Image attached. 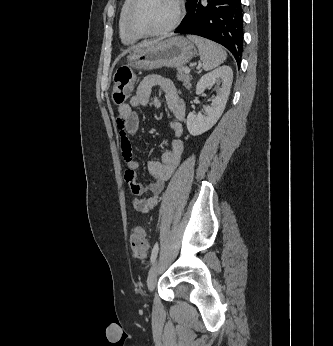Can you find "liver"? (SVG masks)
Returning <instances> with one entry per match:
<instances>
[{
  "mask_svg": "<svg viewBox=\"0 0 333 346\" xmlns=\"http://www.w3.org/2000/svg\"><path fill=\"white\" fill-rule=\"evenodd\" d=\"M158 41H160V39H156V40H153V41H145V42L139 44L138 46H135L134 48H138V47H142V46H145V45H148V44L156 43Z\"/></svg>",
  "mask_w": 333,
  "mask_h": 346,
  "instance_id": "obj_1",
  "label": "liver"
}]
</instances>
